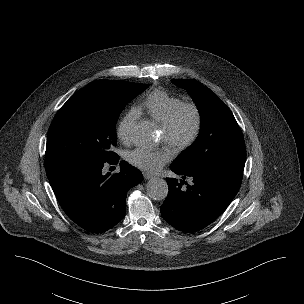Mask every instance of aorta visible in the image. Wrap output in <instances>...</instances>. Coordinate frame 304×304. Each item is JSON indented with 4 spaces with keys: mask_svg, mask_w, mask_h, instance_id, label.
<instances>
[{
    "mask_svg": "<svg viewBox=\"0 0 304 304\" xmlns=\"http://www.w3.org/2000/svg\"><path fill=\"white\" fill-rule=\"evenodd\" d=\"M134 140L137 144H149L151 142L150 129L147 125L141 124L135 131ZM147 194L154 200H163L168 194L167 182L158 177L151 178L147 183Z\"/></svg>",
    "mask_w": 304,
    "mask_h": 304,
    "instance_id": "762f6f07",
    "label": "aorta"
}]
</instances>
